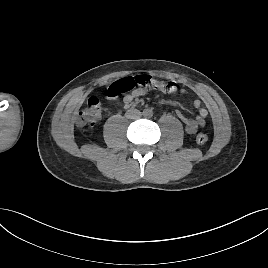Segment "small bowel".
<instances>
[{
	"instance_id": "1",
	"label": "small bowel",
	"mask_w": 268,
	"mask_h": 268,
	"mask_svg": "<svg viewBox=\"0 0 268 268\" xmlns=\"http://www.w3.org/2000/svg\"><path fill=\"white\" fill-rule=\"evenodd\" d=\"M181 93H185V89H180ZM147 93V90L144 88H136L132 92L126 94L123 97V103L125 106H130L133 101ZM194 107L198 110V114L195 118H189L185 116L181 112H177L178 118L185 125V131L188 134H194L198 131L199 128L203 127L206 122V118L208 116V110L202 107L201 101L199 99H195L193 101Z\"/></svg>"
}]
</instances>
